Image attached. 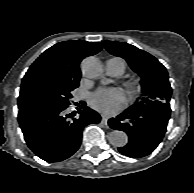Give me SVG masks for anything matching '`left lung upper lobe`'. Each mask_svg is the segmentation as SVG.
Here are the masks:
<instances>
[{
  "label": "left lung upper lobe",
  "instance_id": "1",
  "mask_svg": "<svg viewBox=\"0 0 194 193\" xmlns=\"http://www.w3.org/2000/svg\"><path fill=\"white\" fill-rule=\"evenodd\" d=\"M104 46L113 55L124 58L130 67L141 75V95L128 109H138L169 103L171 87L166 68L152 55L123 42L104 41Z\"/></svg>",
  "mask_w": 194,
  "mask_h": 193
}]
</instances>
